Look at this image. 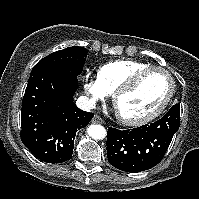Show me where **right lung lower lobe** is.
I'll list each match as a JSON object with an SVG mask.
<instances>
[{
	"mask_svg": "<svg viewBox=\"0 0 199 199\" xmlns=\"http://www.w3.org/2000/svg\"><path fill=\"white\" fill-rule=\"evenodd\" d=\"M77 86V76L65 68H43L30 74L21 109V140L44 162L69 160L77 130L94 116L73 102Z\"/></svg>",
	"mask_w": 199,
	"mask_h": 199,
	"instance_id": "obj_1",
	"label": "right lung lower lobe"
}]
</instances>
